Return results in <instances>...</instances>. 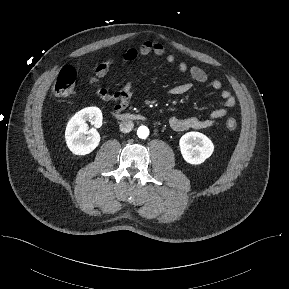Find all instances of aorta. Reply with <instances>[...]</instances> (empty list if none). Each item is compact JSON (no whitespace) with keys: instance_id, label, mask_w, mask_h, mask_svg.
Returning <instances> with one entry per match:
<instances>
[{"instance_id":"1","label":"aorta","mask_w":289,"mask_h":289,"mask_svg":"<svg viewBox=\"0 0 289 289\" xmlns=\"http://www.w3.org/2000/svg\"><path fill=\"white\" fill-rule=\"evenodd\" d=\"M137 135L141 139H145L149 135V129L146 126H140L137 130Z\"/></svg>"}]
</instances>
